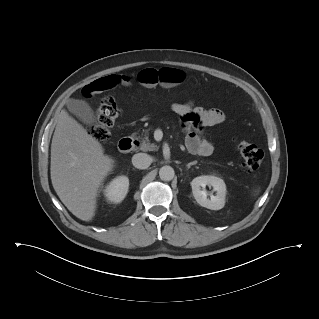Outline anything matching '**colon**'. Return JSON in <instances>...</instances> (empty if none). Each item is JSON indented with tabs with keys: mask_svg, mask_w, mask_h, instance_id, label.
I'll return each mask as SVG.
<instances>
[{
	"mask_svg": "<svg viewBox=\"0 0 319 319\" xmlns=\"http://www.w3.org/2000/svg\"><path fill=\"white\" fill-rule=\"evenodd\" d=\"M119 116V108L111 97L101 100L96 113L95 122L91 128L93 137L99 142H106L110 137V128L114 125ZM246 167L251 171H257L262 165L264 153L256 145L240 140L237 142Z\"/></svg>",
	"mask_w": 319,
	"mask_h": 319,
	"instance_id": "colon-1",
	"label": "colon"
}]
</instances>
